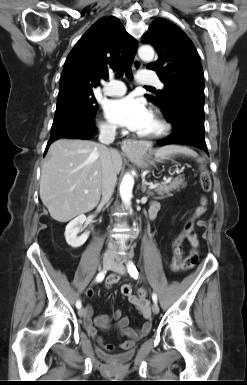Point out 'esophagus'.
<instances>
[{"mask_svg":"<svg viewBox=\"0 0 247 385\" xmlns=\"http://www.w3.org/2000/svg\"><path fill=\"white\" fill-rule=\"evenodd\" d=\"M141 67H142V63H141L140 59L136 56L133 60V69L139 70ZM140 146H141L140 143L133 141V140H130V139H126L123 141L122 149L124 152L131 154L135 150L139 149Z\"/></svg>","mask_w":247,"mask_h":385,"instance_id":"obj_1","label":"esophagus"}]
</instances>
